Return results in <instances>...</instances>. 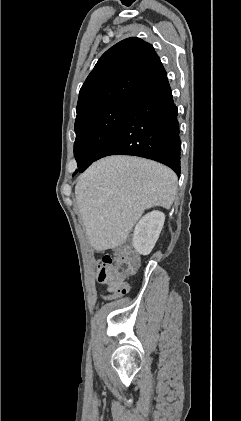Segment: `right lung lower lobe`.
<instances>
[{"label":"right lung lower lobe","mask_w":241,"mask_h":421,"mask_svg":"<svg viewBox=\"0 0 241 421\" xmlns=\"http://www.w3.org/2000/svg\"><path fill=\"white\" fill-rule=\"evenodd\" d=\"M179 135L177 107L164 71L130 100L120 126L95 161L109 155L139 156L163 163L179 176Z\"/></svg>","instance_id":"1"}]
</instances>
